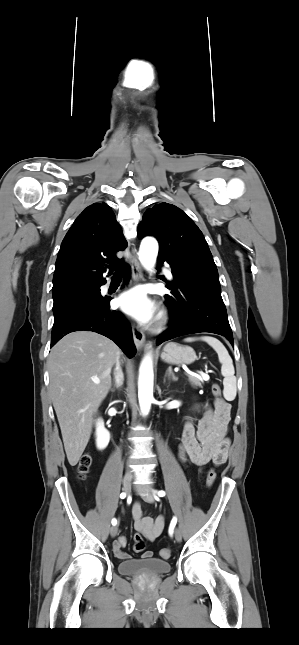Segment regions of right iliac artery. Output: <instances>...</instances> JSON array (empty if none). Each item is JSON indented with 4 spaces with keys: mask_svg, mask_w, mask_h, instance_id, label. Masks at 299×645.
Masks as SVG:
<instances>
[{
    "mask_svg": "<svg viewBox=\"0 0 299 645\" xmlns=\"http://www.w3.org/2000/svg\"><path fill=\"white\" fill-rule=\"evenodd\" d=\"M125 497H126V493H124V492H123V493H121V494H120V498H121V499H124ZM116 523H117V520H116V519H112V525H116Z\"/></svg>",
    "mask_w": 299,
    "mask_h": 645,
    "instance_id": "right-iliac-artery-1",
    "label": "right iliac artery"
}]
</instances>
